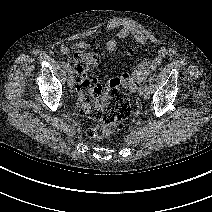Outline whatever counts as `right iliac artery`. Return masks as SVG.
<instances>
[{
    "label": "right iliac artery",
    "mask_w": 212,
    "mask_h": 212,
    "mask_svg": "<svg viewBox=\"0 0 212 212\" xmlns=\"http://www.w3.org/2000/svg\"><path fill=\"white\" fill-rule=\"evenodd\" d=\"M64 68L68 71L71 72V66L67 63L64 64Z\"/></svg>",
    "instance_id": "1"
}]
</instances>
